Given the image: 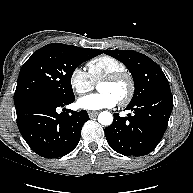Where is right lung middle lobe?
Wrapping results in <instances>:
<instances>
[{"mask_svg": "<svg viewBox=\"0 0 193 193\" xmlns=\"http://www.w3.org/2000/svg\"><path fill=\"white\" fill-rule=\"evenodd\" d=\"M99 55L92 49L61 43L48 44L38 49L22 66L14 104L41 94L62 99L74 98L71 76L83 62Z\"/></svg>", "mask_w": 193, "mask_h": 193, "instance_id": "obj_1", "label": "right lung middle lobe"}]
</instances>
